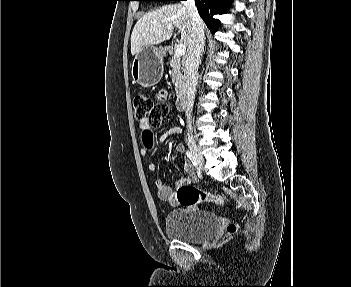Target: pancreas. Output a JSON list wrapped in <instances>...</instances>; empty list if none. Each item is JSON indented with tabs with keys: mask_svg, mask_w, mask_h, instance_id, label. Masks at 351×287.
I'll list each match as a JSON object with an SVG mask.
<instances>
[{
	"mask_svg": "<svg viewBox=\"0 0 351 287\" xmlns=\"http://www.w3.org/2000/svg\"><path fill=\"white\" fill-rule=\"evenodd\" d=\"M170 66L172 68V83L175 85L176 93L180 94L185 87L184 78L182 75V62L180 61V58L176 55L172 56L170 59Z\"/></svg>",
	"mask_w": 351,
	"mask_h": 287,
	"instance_id": "obj_1",
	"label": "pancreas"
}]
</instances>
